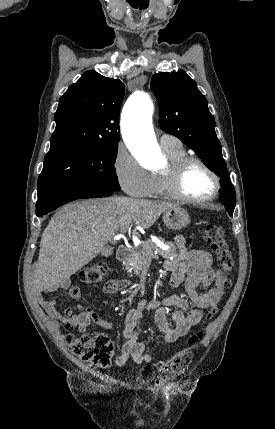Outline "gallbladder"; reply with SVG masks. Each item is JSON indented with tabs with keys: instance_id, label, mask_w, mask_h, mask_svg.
<instances>
[{
	"instance_id": "gallbladder-1",
	"label": "gallbladder",
	"mask_w": 275,
	"mask_h": 429,
	"mask_svg": "<svg viewBox=\"0 0 275 429\" xmlns=\"http://www.w3.org/2000/svg\"><path fill=\"white\" fill-rule=\"evenodd\" d=\"M112 253H113V248H112V247H105V248L102 250L101 255H102L103 257H109V256H111V255H112Z\"/></svg>"
}]
</instances>
